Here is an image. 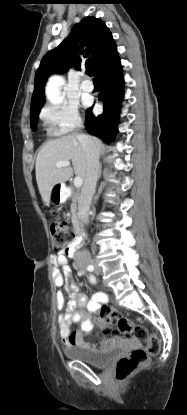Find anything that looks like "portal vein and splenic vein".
<instances>
[{"mask_svg": "<svg viewBox=\"0 0 187 415\" xmlns=\"http://www.w3.org/2000/svg\"><path fill=\"white\" fill-rule=\"evenodd\" d=\"M70 165V161H60L56 163V167L57 168H61V167H65V166H69ZM83 184V180L80 176H76L74 178V186L76 188H80Z\"/></svg>", "mask_w": 187, "mask_h": 415, "instance_id": "obj_1", "label": "portal vein and splenic vein"}]
</instances>
